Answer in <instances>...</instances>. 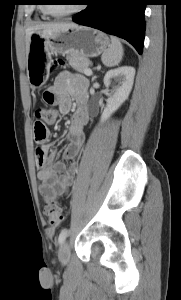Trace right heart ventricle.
Segmentation results:
<instances>
[{
  "mask_svg": "<svg viewBox=\"0 0 181 300\" xmlns=\"http://www.w3.org/2000/svg\"><path fill=\"white\" fill-rule=\"evenodd\" d=\"M40 12H41V16L43 19L48 20L49 19V15L46 13L44 7L40 8Z\"/></svg>",
  "mask_w": 181,
  "mask_h": 300,
  "instance_id": "obj_1",
  "label": "right heart ventricle"
}]
</instances>
